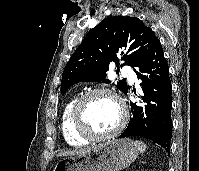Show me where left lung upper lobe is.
Masks as SVG:
<instances>
[{"instance_id": "left-lung-upper-lobe-1", "label": "left lung upper lobe", "mask_w": 199, "mask_h": 171, "mask_svg": "<svg viewBox=\"0 0 199 171\" xmlns=\"http://www.w3.org/2000/svg\"><path fill=\"white\" fill-rule=\"evenodd\" d=\"M158 41L152 29L136 17L113 16L102 20L91 29L65 66L61 94L78 82L110 83L105 73L111 61L118 65V57L122 56L121 67H138ZM116 86L126 93L125 80Z\"/></svg>"}]
</instances>
